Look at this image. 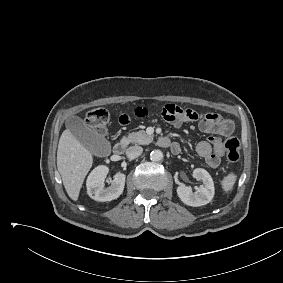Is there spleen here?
<instances>
[{
    "label": "spleen",
    "instance_id": "3e777b00",
    "mask_svg": "<svg viewBox=\"0 0 283 283\" xmlns=\"http://www.w3.org/2000/svg\"><path fill=\"white\" fill-rule=\"evenodd\" d=\"M236 181V175L233 173H230L229 175H227L223 180H222V188L225 192H228L230 190H232L234 184Z\"/></svg>",
    "mask_w": 283,
    "mask_h": 283
}]
</instances>
